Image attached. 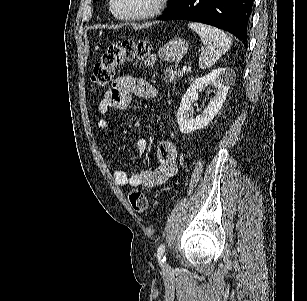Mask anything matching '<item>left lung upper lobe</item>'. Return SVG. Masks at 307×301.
<instances>
[{
  "mask_svg": "<svg viewBox=\"0 0 307 301\" xmlns=\"http://www.w3.org/2000/svg\"><path fill=\"white\" fill-rule=\"evenodd\" d=\"M96 0H93V2H95ZM170 1V3H169V5H168V7H167V9H169V8H171V7H173L174 5H176L180 0H169ZM166 9V10H167ZM165 10V11H166Z\"/></svg>",
  "mask_w": 307,
  "mask_h": 301,
  "instance_id": "5c2ea615",
  "label": "left lung upper lobe"
}]
</instances>
